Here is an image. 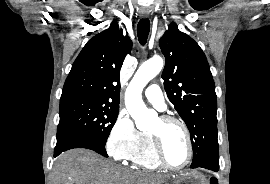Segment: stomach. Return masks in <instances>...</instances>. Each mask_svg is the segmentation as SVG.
I'll list each match as a JSON object with an SVG mask.
<instances>
[{"label": "stomach", "instance_id": "1", "mask_svg": "<svg viewBox=\"0 0 270 184\" xmlns=\"http://www.w3.org/2000/svg\"><path fill=\"white\" fill-rule=\"evenodd\" d=\"M170 184H208V182L202 174L186 171L174 176Z\"/></svg>", "mask_w": 270, "mask_h": 184}]
</instances>
